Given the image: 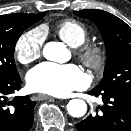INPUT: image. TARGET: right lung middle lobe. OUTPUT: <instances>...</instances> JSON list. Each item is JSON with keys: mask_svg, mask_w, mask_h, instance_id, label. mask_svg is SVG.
I'll return each instance as SVG.
<instances>
[{"mask_svg": "<svg viewBox=\"0 0 131 131\" xmlns=\"http://www.w3.org/2000/svg\"><path fill=\"white\" fill-rule=\"evenodd\" d=\"M23 18L9 15L0 16V77H13L18 75L14 49L22 32L44 17Z\"/></svg>", "mask_w": 131, "mask_h": 131, "instance_id": "right-lung-middle-lobe-1", "label": "right lung middle lobe"}]
</instances>
